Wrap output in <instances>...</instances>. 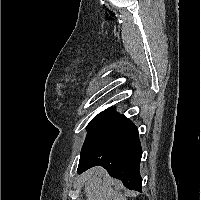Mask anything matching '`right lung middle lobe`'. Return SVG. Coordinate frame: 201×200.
Wrapping results in <instances>:
<instances>
[{"label":"right lung middle lobe","instance_id":"obj_1","mask_svg":"<svg viewBox=\"0 0 201 200\" xmlns=\"http://www.w3.org/2000/svg\"><path fill=\"white\" fill-rule=\"evenodd\" d=\"M115 108H108L105 111L101 112L100 114H98L87 126V130L92 128L93 126H95L96 124H98L99 122H101L102 120L106 119L107 117L111 116L112 114H114Z\"/></svg>","mask_w":201,"mask_h":200}]
</instances>
